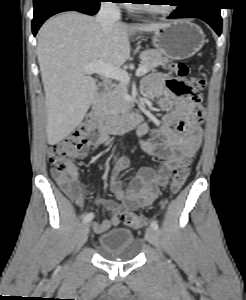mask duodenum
Wrapping results in <instances>:
<instances>
[{
  "mask_svg": "<svg viewBox=\"0 0 246 300\" xmlns=\"http://www.w3.org/2000/svg\"><path fill=\"white\" fill-rule=\"evenodd\" d=\"M105 88V83L99 85L98 92L92 104V110L96 117V124L99 132L102 134H121L137 129L142 120L134 111L126 109L117 116L107 115L102 112L100 100Z\"/></svg>",
  "mask_w": 246,
  "mask_h": 300,
  "instance_id": "duodenum-1",
  "label": "duodenum"
}]
</instances>
